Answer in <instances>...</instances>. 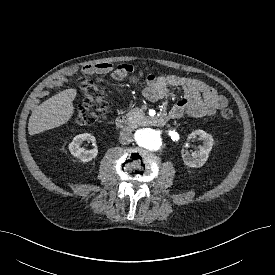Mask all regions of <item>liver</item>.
<instances>
[{"mask_svg":"<svg viewBox=\"0 0 275 275\" xmlns=\"http://www.w3.org/2000/svg\"><path fill=\"white\" fill-rule=\"evenodd\" d=\"M76 95V89H66L35 107L29 118V134H39L66 124L74 114Z\"/></svg>","mask_w":275,"mask_h":275,"instance_id":"liver-1","label":"liver"}]
</instances>
